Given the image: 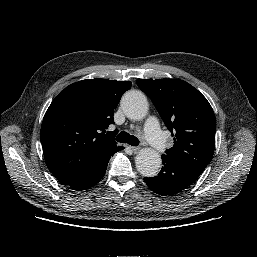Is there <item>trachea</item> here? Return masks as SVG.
<instances>
[{
	"instance_id": "3493384b",
	"label": "trachea",
	"mask_w": 257,
	"mask_h": 257,
	"mask_svg": "<svg viewBox=\"0 0 257 257\" xmlns=\"http://www.w3.org/2000/svg\"><path fill=\"white\" fill-rule=\"evenodd\" d=\"M116 141H118L120 143H128L129 145H132V146L139 145L138 138L133 135H130L129 133H127L125 131H122L117 135Z\"/></svg>"
}]
</instances>
